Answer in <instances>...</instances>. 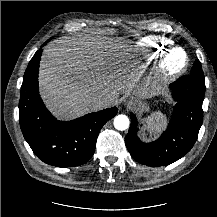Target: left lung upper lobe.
Returning a JSON list of instances; mask_svg holds the SVG:
<instances>
[{
	"label": "left lung upper lobe",
	"instance_id": "obj_1",
	"mask_svg": "<svg viewBox=\"0 0 217 217\" xmlns=\"http://www.w3.org/2000/svg\"><path fill=\"white\" fill-rule=\"evenodd\" d=\"M190 76L194 78L199 84L205 86V77L201 67L200 61L197 59L193 65V68L190 72Z\"/></svg>",
	"mask_w": 217,
	"mask_h": 217
}]
</instances>
